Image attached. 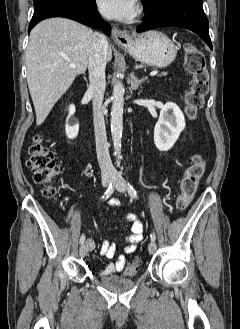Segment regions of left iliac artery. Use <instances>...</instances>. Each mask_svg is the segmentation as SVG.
I'll return each instance as SVG.
<instances>
[{
	"label": "left iliac artery",
	"instance_id": "left-iliac-artery-1",
	"mask_svg": "<svg viewBox=\"0 0 240 329\" xmlns=\"http://www.w3.org/2000/svg\"><path fill=\"white\" fill-rule=\"evenodd\" d=\"M127 185H128V193H129V195H130L132 198H137V193H136L135 189L133 188V186H132L129 182L127 183ZM150 237H151V240H152V241H155V240H156V235H155V233H152V234L150 235Z\"/></svg>",
	"mask_w": 240,
	"mask_h": 329
}]
</instances>
